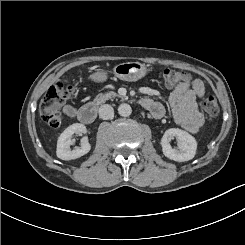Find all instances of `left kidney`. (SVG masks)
Wrapping results in <instances>:
<instances>
[{
  "mask_svg": "<svg viewBox=\"0 0 245 245\" xmlns=\"http://www.w3.org/2000/svg\"><path fill=\"white\" fill-rule=\"evenodd\" d=\"M174 137H176L177 140V149H173L170 145V141ZM161 146L163 154L167 158L177 162H184L194 158L197 142L188 132L178 128H170L165 131L161 139Z\"/></svg>",
  "mask_w": 245,
  "mask_h": 245,
  "instance_id": "obj_1",
  "label": "left kidney"
}]
</instances>
